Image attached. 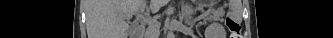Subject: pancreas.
I'll list each match as a JSON object with an SVG mask.
<instances>
[{
  "label": "pancreas",
  "mask_w": 333,
  "mask_h": 38,
  "mask_svg": "<svg viewBox=\"0 0 333 38\" xmlns=\"http://www.w3.org/2000/svg\"><path fill=\"white\" fill-rule=\"evenodd\" d=\"M159 29V25L158 24H153L151 25L147 31H146V37L147 38H151L154 33H156Z\"/></svg>",
  "instance_id": "obj_1"
}]
</instances>
